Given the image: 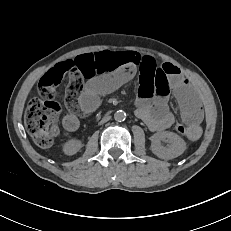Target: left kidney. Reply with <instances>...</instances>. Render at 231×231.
<instances>
[{
	"mask_svg": "<svg viewBox=\"0 0 231 231\" xmlns=\"http://www.w3.org/2000/svg\"><path fill=\"white\" fill-rule=\"evenodd\" d=\"M151 150L161 159H173L184 153L186 150L185 141L176 133L163 131L157 132L151 137ZM161 141L168 143L163 146Z\"/></svg>",
	"mask_w": 231,
	"mask_h": 231,
	"instance_id": "1",
	"label": "left kidney"
}]
</instances>
